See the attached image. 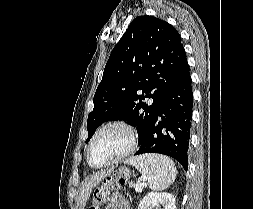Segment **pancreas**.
<instances>
[{
	"mask_svg": "<svg viewBox=\"0 0 253 209\" xmlns=\"http://www.w3.org/2000/svg\"><path fill=\"white\" fill-rule=\"evenodd\" d=\"M135 186H136L135 183L129 182V187H135Z\"/></svg>",
	"mask_w": 253,
	"mask_h": 209,
	"instance_id": "obj_1",
	"label": "pancreas"
}]
</instances>
